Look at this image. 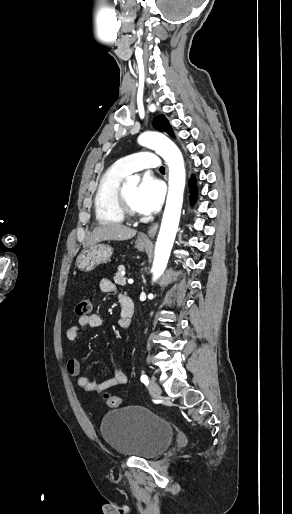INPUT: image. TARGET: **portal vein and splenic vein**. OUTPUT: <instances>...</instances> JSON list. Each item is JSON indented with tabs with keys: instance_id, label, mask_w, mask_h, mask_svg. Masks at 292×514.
Returning <instances> with one entry per match:
<instances>
[{
	"instance_id": "1",
	"label": "portal vein and splenic vein",
	"mask_w": 292,
	"mask_h": 514,
	"mask_svg": "<svg viewBox=\"0 0 292 514\" xmlns=\"http://www.w3.org/2000/svg\"><path fill=\"white\" fill-rule=\"evenodd\" d=\"M134 280H128V284H133Z\"/></svg>"
}]
</instances>
